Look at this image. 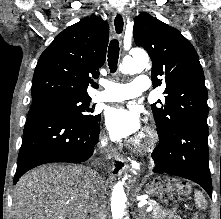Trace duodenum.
Here are the masks:
<instances>
[{"instance_id":"obj_1","label":"duodenum","mask_w":221,"mask_h":219,"mask_svg":"<svg viewBox=\"0 0 221 219\" xmlns=\"http://www.w3.org/2000/svg\"><path fill=\"white\" fill-rule=\"evenodd\" d=\"M74 219H82V218H80V217H75Z\"/></svg>"}]
</instances>
